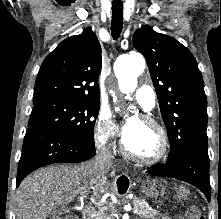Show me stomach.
<instances>
[{"label":"stomach","instance_id":"0dacf381","mask_svg":"<svg viewBox=\"0 0 221 219\" xmlns=\"http://www.w3.org/2000/svg\"><path fill=\"white\" fill-rule=\"evenodd\" d=\"M142 189L152 199H172V194H166V183H173V178H146Z\"/></svg>","mask_w":221,"mask_h":219}]
</instances>
